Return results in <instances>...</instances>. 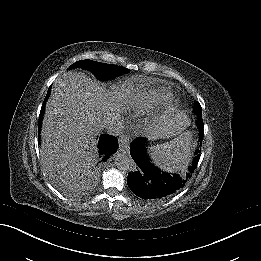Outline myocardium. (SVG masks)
I'll use <instances>...</instances> for the list:
<instances>
[{
  "label": "myocardium",
  "instance_id": "myocardium-1",
  "mask_svg": "<svg viewBox=\"0 0 261 261\" xmlns=\"http://www.w3.org/2000/svg\"><path fill=\"white\" fill-rule=\"evenodd\" d=\"M179 103L177 100L170 99L164 107L163 111L156 116L150 123L151 132H159L162 127L169 121L170 118L175 116L178 111Z\"/></svg>",
  "mask_w": 261,
  "mask_h": 261
}]
</instances>
